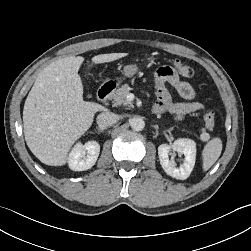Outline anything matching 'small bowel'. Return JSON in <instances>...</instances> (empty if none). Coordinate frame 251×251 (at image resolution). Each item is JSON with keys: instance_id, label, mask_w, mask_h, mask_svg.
Segmentation results:
<instances>
[{"instance_id": "small-bowel-1", "label": "small bowel", "mask_w": 251, "mask_h": 251, "mask_svg": "<svg viewBox=\"0 0 251 251\" xmlns=\"http://www.w3.org/2000/svg\"><path fill=\"white\" fill-rule=\"evenodd\" d=\"M166 84L174 87L179 95L187 101L173 103ZM155 86L157 96L153 107L155 113L189 114L204 108L202 103L195 101L197 93L194 87L189 82L181 80L178 73L170 67H161L157 70Z\"/></svg>"}]
</instances>
